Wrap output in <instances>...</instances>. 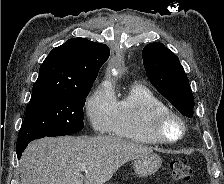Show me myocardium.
Segmentation results:
<instances>
[{"label": "myocardium", "mask_w": 224, "mask_h": 184, "mask_svg": "<svg viewBox=\"0 0 224 184\" xmlns=\"http://www.w3.org/2000/svg\"><path fill=\"white\" fill-rule=\"evenodd\" d=\"M170 122H175L180 127V133L175 137H171L167 134L166 126ZM149 132L157 143L175 144L184 138L186 134V124L182 117L176 112L170 109L160 110L152 114L149 123Z\"/></svg>", "instance_id": "obj_1"}]
</instances>
